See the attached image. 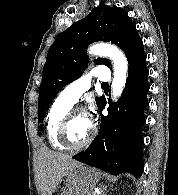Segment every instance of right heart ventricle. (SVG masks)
I'll list each match as a JSON object with an SVG mask.
<instances>
[{
  "label": "right heart ventricle",
  "instance_id": "1",
  "mask_svg": "<svg viewBox=\"0 0 178 195\" xmlns=\"http://www.w3.org/2000/svg\"><path fill=\"white\" fill-rule=\"evenodd\" d=\"M72 107L73 104L59 95L48 110L46 116V135L50 146L56 151H64L66 149L58 140V130L64 116Z\"/></svg>",
  "mask_w": 178,
  "mask_h": 195
}]
</instances>
